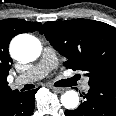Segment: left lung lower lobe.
Segmentation results:
<instances>
[{"mask_svg":"<svg viewBox=\"0 0 116 116\" xmlns=\"http://www.w3.org/2000/svg\"><path fill=\"white\" fill-rule=\"evenodd\" d=\"M84 100L75 110H66V116H116V86L89 85Z\"/></svg>","mask_w":116,"mask_h":116,"instance_id":"obj_1","label":"left lung lower lobe"}]
</instances>
